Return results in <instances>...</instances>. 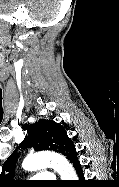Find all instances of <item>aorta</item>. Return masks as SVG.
I'll return each mask as SVG.
<instances>
[{
	"mask_svg": "<svg viewBox=\"0 0 119 187\" xmlns=\"http://www.w3.org/2000/svg\"><path fill=\"white\" fill-rule=\"evenodd\" d=\"M48 166L58 172L61 180H77L73 166L64 156L55 152H39L28 155L22 163L23 169L27 171H34Z\"/></svg>",
	"mask_w": 119,
	"mask_h": 187,
	"instance_id": "obj_1",
	"label": "aorta"
}]
</instances>
